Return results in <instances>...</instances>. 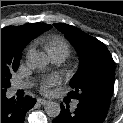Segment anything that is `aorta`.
Segmentation results:
<instances>
[{
  "label": "aorta",
  "mask_w": 123,
  "mask_h": 123,
  "mask_svg": "<svg viewBox=\"0 0 123 123\" xmlns=\"http://www.w3.org/2000/svg\"><path fill=\"white\" fill-rule=\"evenodd\" d=\"M27 59L28 62L36 68H45L50 62L49 57L44 52L38 51L31 52ZM45 111L48 116L55 118L61 112L60 104L56 102H49L45 107Z\"/></svg>",
  "instance_id": "obj_1"
}]
</instances>
